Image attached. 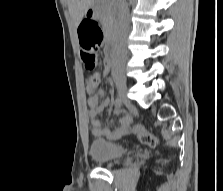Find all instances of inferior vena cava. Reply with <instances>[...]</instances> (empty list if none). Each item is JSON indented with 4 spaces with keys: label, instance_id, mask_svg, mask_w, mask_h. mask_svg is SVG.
<instances>
[{
    "label": "inferior vena cava",
    "instance_id": "602c4592",
    "mask_svg": "<svg viewBox=\"0 0 223 191\" xmlns=\"http://www.w3.org/2000/svg\"><path fill=\"white\" fill-rule=\"evenodd\" d=\"M116 9L118 16V32L114 46L113 74L118 72L120 61H123L126 57L125 39L130 27L128 4L126 0H116Z\"/></svg>",
    "mask_w": 223,
    "mask_h": 191
}]
</instances>
